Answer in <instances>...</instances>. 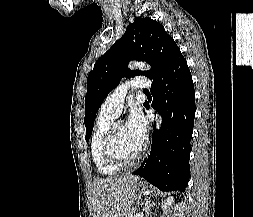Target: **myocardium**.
Masks as SVG:
<instances>
[{"instance_id":"1","label":"myocardium","mask_w":253,"mask_h":217,"mask_svg":"<svg viewBox=\"0 0 253 217\" xmlns=\"http://www.w3.org/2000/svg\"><path fill=\"white\" fill-rule=\"evenodd\" d=\"M122 124L121 122H114L103 142V154L108 163L117 167H129L139 162L146 151V143L143 142L139 152L129 160L122 158L116 151L115 141L117 136L118 127Z\"/></svg>"}]
</instances>
